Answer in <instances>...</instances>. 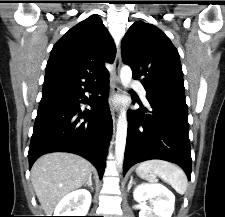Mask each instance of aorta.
<instances>
[{"instance_id": "aorta-1", "label": "aorta", "mask_w": 225, "mask_h": 217, "mask_svg": "<svg viewBox=\"0 0 225 217\" xmlns=\"http://www.w3.org/2000/svg\"><path fill=\"white\" fill-rule=\"evenodd\" d=\"M132 78L131 68L124 65L120 71L121 84L126 90ZM127 111L122 108L117 121L116 141H115V157L118 166L120 167L124 158L126 138H127Z\"/></svg>"}]
</instances>
